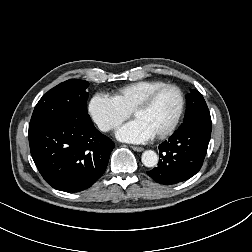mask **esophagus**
Returning a JSON list of instances; mask_svg holds the SVG:
<instances>
[{"mask_svg":"<svg viewBox=\"0 0 252 252\" xmlns=\"http://www.w3.org/2000/svg\"><path fill=\"white\" fill-rule=\"evenodd\" d=\"M134 151L136 152H142L144 150L143 147H138V146H130Z\"/></svg>","mask_w":252,"mask_h":252,"instance_id":"1","label":"esophagus"}]
</instances>
